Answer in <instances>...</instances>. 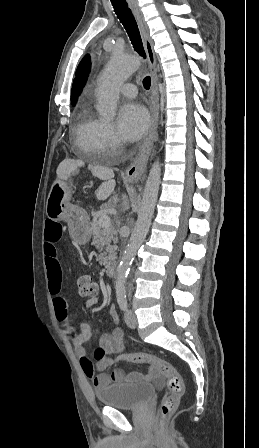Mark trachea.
Listing matches in <instances>:
<instances>
[{"mask_svg": "<svg viewBox=\"0 0 259 448\" xmlns=\"http://www.w3.org/2000/svg\"><path fill=\"white\" fill-rule=\"evenodd\" d=\"M111 3L113 5V8L117 14V17L121 21V23L124 25V28L126 29V32L128 33L130 40L132 42V45L136 52L141 57H146L144 48H143V42L141 40V35L137 26V23L135 21L134 16L131 13V10L128 8V4L126 3V0H111ZM151 85V79L149 76H146L143 80V86L146 90H149Z\"/></svg>", "mask_w": 259, "mask_h": 448, "instance_id": "3493384b", "label": "trachea"}]
</instances>
